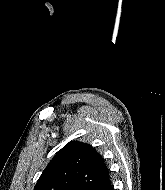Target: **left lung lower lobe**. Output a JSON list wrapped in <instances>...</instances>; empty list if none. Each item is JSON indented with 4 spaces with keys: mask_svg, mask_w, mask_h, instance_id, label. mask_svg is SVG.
I'll list each match as a JSON object with an SVG mask.
<instances>
[{
    "mask_svg": "<svg viewBox=\"0 0 165 190\" xmlns=\"http://www.w3.org/2000/svg\"><path fill=\"white\" fill-rule=\"evenodd\" d=\"M101 190H113L110 179H108V181L106 182V184L103 186Z\"/></svg>",
    "mask_w": 165,
    "mask_h": 190,
    "instance_id": "0a47b994",
    "label": "left lung lower lobe"
}]
</instances>
